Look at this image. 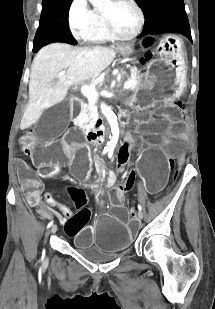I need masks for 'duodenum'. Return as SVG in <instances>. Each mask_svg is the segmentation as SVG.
I'll list each match as a JSON object with an SVG mask.
<instances>
[{
    "label": "duodenum",
    "instance_id": "obj_1",
    "mask_svg": "<svg viewBox=\"0 0 215 309\" xmlns=\"http://www.w3.org/2000/svg\"><path fill=\"white\" fill-rule=\"evenodd\" d=\"M119 118L124 124L129 122V116L127 114H120ZM106 134L107 127L104 119L100 117L95 118L93 120V127L88 130L87 141L93 147L99 146L105 140Z\"/></svg>",
    "mask_w": 215,
    "mask_h": 309
}]
</instances>
